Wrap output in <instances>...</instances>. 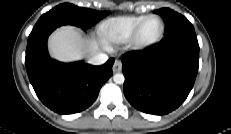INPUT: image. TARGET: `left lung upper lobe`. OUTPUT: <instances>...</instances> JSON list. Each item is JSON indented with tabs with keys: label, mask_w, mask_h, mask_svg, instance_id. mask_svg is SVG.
Wrapping results in <instances>:
<instances>
[{
	"label": "left lung upper lobe",
	"mask_w": 231,
	"mask_h": 134,
	"mask_svg": "<svg viewBox=\"0 0 231 134\" xmlns=\"http://www.w3.org/2000/svg\"><path fill=\"white\" fill-rule=\"evenodd\" d=\"M155 13L160 14L165 20L164 36L181 30L194 29L186 17L169 8L156 10Z\"/></svg>",
	"instance_id": "5c2ea615"
}]
</instances>
